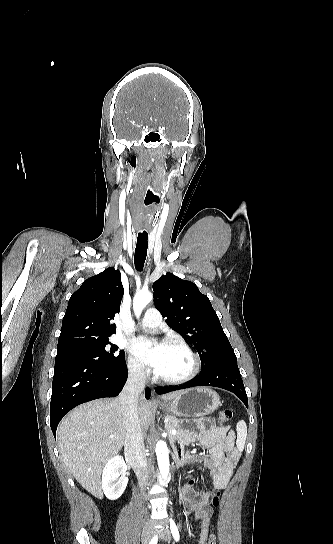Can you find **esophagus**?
Masks as SVG:
<instances>
[{"label":"esophagus","mask_w":333,"mask_h":544,"mask_svg":"<svg viewBox=\"0 0 333 544\" xmlns=\"http://www.w3.org/2000/svg\"><path fill=\"white\" fill-rule=\"evenodd\" d=\"M152 400H153V402H156V401H157V400L155 399V397H154V396L152 397Z\"/></svg>","instance_id":"1"}]
</instances>
